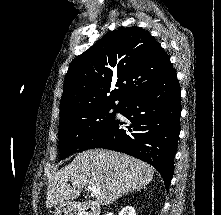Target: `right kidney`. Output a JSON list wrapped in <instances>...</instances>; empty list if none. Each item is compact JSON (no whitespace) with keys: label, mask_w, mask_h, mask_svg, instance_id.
<instances>
[{"label":"right kidney","mask_w":221,"mask_h":215,"mask_svg":"<svg viewBox=\"0 0 221 215\" xmlns=\"http://www.w3.org/2000/svg\"><path fill=\"white\" fill-rule=\"evenodd\" d=\"M119 215H136L135 210L132 206H126L121 210Z\"/></svg>","instance_id":"obj_1"}]
</instances>
